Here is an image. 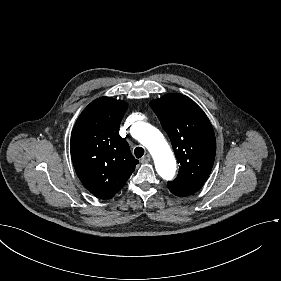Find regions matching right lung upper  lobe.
Here are the masks:
<instances>
[{
  "mask_svg": "<svg viewBox=\"0 0 281 281\" xmlns=\"http://www.w3.org/2000/svg\"><path fill=\"white\" fill-rule=\"evenodd\" d=\"M126 109L124 101L98 98L84 109L72 130L70 150L75 171L83 185L101 199L112 198L138 164L119 135Z\"/></svg>",
  "mask_w": 281,
  "mask_h": 281,
  "instance_id": "right-lung-upper-lobe-1",
  "label": "right lung upper lobe"
}]
</instances>
